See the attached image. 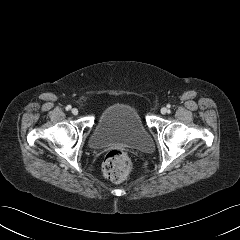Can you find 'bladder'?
<instances>
[{
  "label": "bladder",
  "mask_w": 240,
  "mask_h": 240,
  "mask_svg": "<svg viewBox=\"0 0 240 240\" xmlns=\"http://www.w3.org/2000/svg\"><path fill=\"white\" fill-rule=\"evenodd\" d=\"M89 143L96 149L112 144L141 150L152 147L151 136L137 109L124 103L111 105L100 114Z\"/></svg>",
  "instance_id": "31cf9c89"
}]
</instances>
